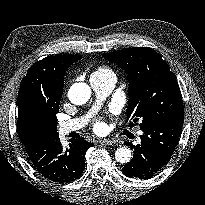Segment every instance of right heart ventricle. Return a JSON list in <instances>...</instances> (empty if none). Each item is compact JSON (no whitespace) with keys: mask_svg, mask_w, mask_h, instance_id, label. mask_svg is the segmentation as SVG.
<instances>
[{"mask_svg":"<svg viewBox=\"0 0 205 205\" xmlns=\"http://www.w3.org/2000/svg\"><path fill=\"white\" fill-rule=\"evenodd\" d=\"M106 73H112V71L106 67H99L96 71L92 73V75H100V74H106Z\"/></svg>","mask_w":205,"mask_h":205,"instance_id":"1","label":"right heart ventricle"}]
</instances>
